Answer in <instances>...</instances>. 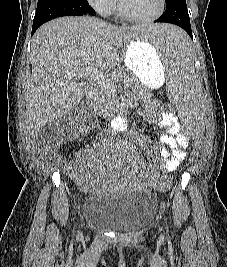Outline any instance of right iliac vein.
<instances>
[{"instance_id":"right-iliac-vein-1","label":"right iliac vein","mask_w":227,"mask_h":267,"mask_svg":"<svg viewBox=\"0 0 227 267\" xmlns=\"http://www.w3.org/2000/svg\"><path fill=\"white\" fill-rule=\"evenodd\" d=\"M78 236L81 237L82 236V233L81 231L78 232Z\"/></svg>"}]
</instances>
